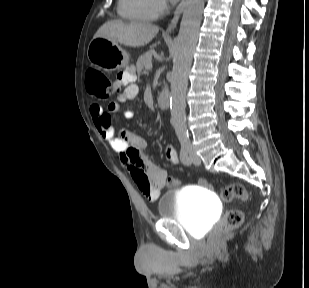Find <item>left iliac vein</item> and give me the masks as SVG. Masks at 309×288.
I'll return each instance as SVG.
<instances>
[{
    "mask_svg": "<svg viewBox=\"0 0 309 288\" xmlns=\"http://www.w3.org/2000/svg\"><path fill=\"white\" fill-rule=\"evenodd\" d=\"M190 161L196 165L201 163L200 157L196 154L195 150L190 147Z\"/></svg>",
    "mask_w": 309,
    "mask_h": 288,
    "instance_id": "4c4485c4",
    "label": "left iliac vein"
}]
</instances>
